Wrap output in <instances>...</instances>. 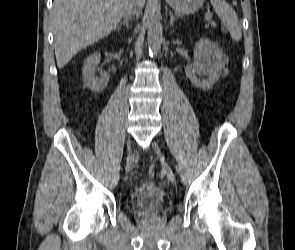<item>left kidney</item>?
<instances>
[{"instance_id": "left-kidney-1", "label": "left kidney", "mask_w": 295, "mask_h": 250, "mask_svg": "<svg viewBox=\"0 0 295 250\" xmlns=\"http://www.w3.org/2000/svg\"><path fill=\"white\" fill-rule=\"evenodd\" d=\"M226 62L227 57L215 44L207 39H200L195 45L193 64L185 67V73L196 87L208 90L218 81ZM202 75L207 78L198 77Z\"/></svg>"}]
</instances>
